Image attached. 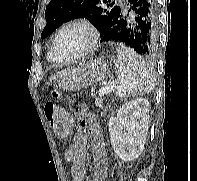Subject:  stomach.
<instances>
[{
    "instance_id": "obj_1",
    "label": "stomach",
    "mask_w": 197,
    "mask_h": 181,
    "mask_svg": "<svg viewBox=\"0 0 197 181\" xmlns=\"http://www.w3.org/2000/svg\"><path fill=\"white\" fill-rule=\"evenodd\" d=\"M110 72V62L104 58H97L60 78L58 85L64 91H77L104 81Z\"/></svg>"
}]
</instances>
